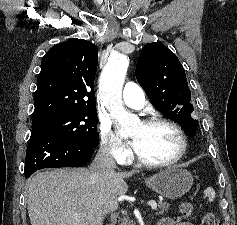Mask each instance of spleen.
<instances>
[{"instance_id":"1","label":"spleen","mask_w":237,"mask_h":225,"mask_svg":"<svg viewBox=\"0 0 237 225\" xmlns=\"http://www.w3.org/2000/svg\"><path fill=\"white\" fill-rule=\"evenodd\" d=\"M204 195H205V197L208 198L209 202H212L215 199L216 193H215V190L213 188L209 187V188L204 190Z\"/></svg>"}]
</instances>
